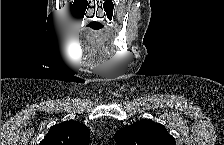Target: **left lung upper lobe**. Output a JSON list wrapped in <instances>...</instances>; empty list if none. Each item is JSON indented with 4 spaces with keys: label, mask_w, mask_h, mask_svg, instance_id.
I'll use <instances>...</instances> for the list:
<instances>
[{
    "label": "left lung upper lobe",
    "mask_w": 224,
    "mask_h": 145,
    "mask_svg": "<svg viewBox=\"0 0 224 145\" xmlns=\"http://www.w3.org/2000/svg\"><path fill=\"white\" fill-rule=\"evenodd\" d=\"M119 145H176L166 128L150 120H141L115 133Z\"/></svg>",
    "instance_id": "left-lung-upper-lobe-1"
}]
</instances>
